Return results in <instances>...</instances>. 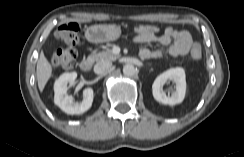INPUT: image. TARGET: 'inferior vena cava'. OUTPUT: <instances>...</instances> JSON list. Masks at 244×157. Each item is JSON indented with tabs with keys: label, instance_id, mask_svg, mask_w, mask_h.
Returning a JSON list of instances; mask_svg holds the SVG:
<instances>
[{
	"label": "inferior vena cava",
	"instance_id": "602c4592",
	"mask_svg": "<svg viewBox=\"0 0 244 157\" xmlns=\"http://www.w3.org/2000/svg\"><path fill=\"white\" fill-rule=\"evenodd\" d=\"M112 66V62L110 61H101L98 62L95 66H94V72L96 74H103L106 71H108Z\"/></svg>",
	"mask_w": 244,
	"mask_h": 157
}]
</instances>
